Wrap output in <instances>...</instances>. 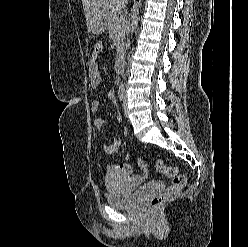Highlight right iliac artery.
<instances>
[{"label": "right iliac artery", "instance_id": "obj_1", "mask_svg": "<svg viewBox=\"0 0 248 247\" xmlns=\"http://www.w3.org/2000/svg\"><path fill=\"white\" fill-rule=\"evenodd\" d=\"M124 93H125L124 87H123V86H120V87H119V91H118V96H119L120 101L123 100Z\"/></svg>", "mask_w": 248, "mask_h": 247}]
</instances>
